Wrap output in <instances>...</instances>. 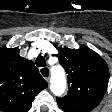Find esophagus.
<instances>
[{"mask_svg": "<svg viewBox=\"0 0 112 112\" xmlns=\"http://www.w3.org/2000/svg\"><path fill=\"white\" fill-rule=\"evenodd\" d=\"M40 74L44 77V79L49 82L50 80V70L48 67H42L39 69Z\"/></svg>", "mask_w": 112, "mask_h": 112, "instance_id": "1", "label": "esophagus"}]
</instances>
